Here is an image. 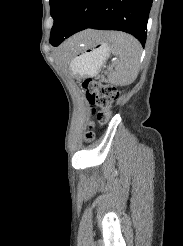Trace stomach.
<instances>
[{
	"label": "stomach",
	"mask_w": 183,
	"mask_h": 246,
	"mask_svg": "<svg viewBox=\"0 0 183 246\" xmlns=\"http://www.w3.org/2000/svg\"><path fill=\"white\" fill-rule=\"evenodd\" d=\"M109 52L110 47L105 37L87 44L70 59V71L77 76L94 75L100 70Z\"/></svg>",
	"instance_id": "1"
}]
</instances>
